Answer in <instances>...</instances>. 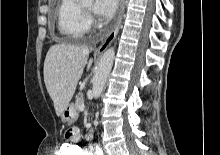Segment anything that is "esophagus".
I'll return each instance as SVG.
<instances>
[{
  "instance_id": "esophagus-1",
  "label": "esophagus",
  "mask_w": 220,
  "mask_h": 155,
  "mask_svg": "<svg viewBox=\"0 0 220 155\" xmlns=\"http://www.w3.org/2000/svg\"><path fill=\"white\" fill-rule=\"evenodd\" d=\"M124 9H125V0H121L120 11H119V15H118L117 21L115 23V26L111 30V32L107 35L106 39L96 49V52H103L114 41V39L119 31V27H120V24L122 21Z\"/></svg>"
}]
</instances>
